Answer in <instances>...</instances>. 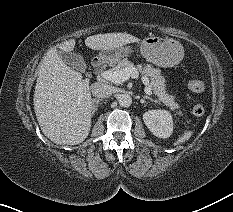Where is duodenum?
I'll return each instance as SVG.
<instances>
[{
  "label": "duodenum",
  "instance_id": "1",
  "mask_svg": "<svg viewBox=\"0 0 233 212\" xmlns=\"http://www.w3.org/2000/svg\"><path fill=\"white\" fill-rule=\"evenodd\" d=\"M92 65L93 67L97 68L101 65V59L99 58H95L93 61H92Z\"/></svg>",
  "mask_w": 233,
  "mask_h": 212
}]
</instances>
